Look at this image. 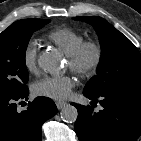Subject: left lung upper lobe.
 <instances>
[{"label": "left lung upper lobe", "instance_id": "5c2ea615", "mask_svg": "<svg viewBox=\"0 0 141 141\" xmlns=\"http://www.w3.org/2000/svg\"><path fill=\"white\" fill-rule=\"evenodd\" d=\"M75 20L92 25L101 45V60L97 75L83 92L100 95L111 89L141 92V54L135 45L105 19L79 16Z\"/></svg>", "mask_w": 141, "mask_h": 141}]
</instances>
